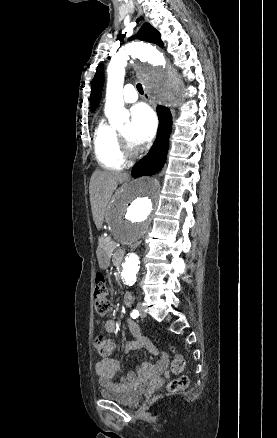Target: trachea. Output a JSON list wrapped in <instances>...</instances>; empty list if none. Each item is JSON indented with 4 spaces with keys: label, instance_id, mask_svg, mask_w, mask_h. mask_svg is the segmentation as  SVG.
Listing matches in <instances>:
<instances>
[{
    "label": "trachea",
    "instance_id": "3493384b",
    "mask_svg": "<svg viewBox=\"0 0 277 438\" xmlns=\"http://www.w3.org/2000/svg\"><path fill=\"white\" fill-rule=\"evenodd\" d=\"M136 88H137L138 92H139L141 95H143V88H142L141 83H137Z\"/></svg>",
    "mask_w": 277,
    "mask_h": 438
}]
</instances>
